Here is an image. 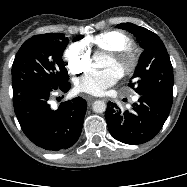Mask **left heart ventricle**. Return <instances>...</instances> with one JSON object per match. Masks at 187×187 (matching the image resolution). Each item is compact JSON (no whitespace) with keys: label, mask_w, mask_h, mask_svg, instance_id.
Instances as JSON below:
<instances>
[{"label":"left heart ventricle","mask_w":187,"mask_h":187,"mask_svg":"<svg viewBox=\"0 0 187 187\" xmlns=\"http://www.w3.org/2000/svg\"><path fill=\"white\" fill-rule=\"evenodd\" d=\"M105 66L106 67H114L117 70H119L121 72L124 64L121 62H118L117 60H115L113 57H111L110 55L107 57V60L105 62Z\"/></svg>","instance_id":"b2bd125f"}]
</instances>
